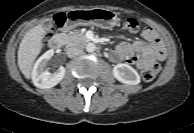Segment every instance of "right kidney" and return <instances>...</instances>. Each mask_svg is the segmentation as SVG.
<instances>
[{
	"label": "right kidney",
	"mask_w": 194,
	"mask_h": 133,
	"mask_svg": "<svg viewBox=\"0 0 194 133\" xmlns=\"http://www.w3.org/2000/svg\"><path fill=\"white\" fill-rule=\"evenodd\" d=\"M54 55L53 50L45 52L35 63L32 71L33 84L41 89H48L56 86L65 75V68L60 66L55 72H49L48 61Z\"/></svg>",
	"instance_id": "ca27d5eb"
}]
</instances>
